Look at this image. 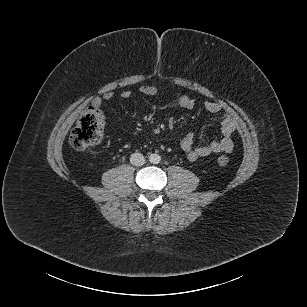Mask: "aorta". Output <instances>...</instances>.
<instances>
[{"label":"aorta","instance_id":"1","mask_svg":"<svg viewBox=\"0 0 307 307\" xmlns=\"http://www.w3.org/2000/svg\"><path fill=\"white\" fill-rule=\"evenodd\" d=\"M161 161V156L159 154L153 153L149 155V162L152 164H158Z\"/></svg>","mask_w":307,"mask_h":307}]
</instances>
